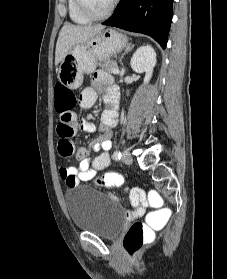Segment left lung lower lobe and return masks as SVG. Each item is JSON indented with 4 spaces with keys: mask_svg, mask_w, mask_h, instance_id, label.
Wrapping results in <instances>:
<instances>
[{
    "mask_svg": "<svg viewBox=\"0 0 227 279\" xmlns=\"http://www.w3.org/2000/svg\"><path fill=\"white\" fill-rule=\"evenodd\" d=\"M173 0H120L104 25L147 34L163 48L173 15Z\"/></svg>",
    "mask_w": 227,
    "mask_h": 279,
    "instance_id": "1",
    "label": "left lung lower lobe"
}]
</instances>
